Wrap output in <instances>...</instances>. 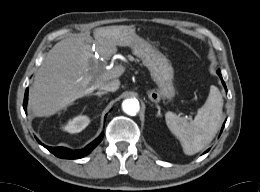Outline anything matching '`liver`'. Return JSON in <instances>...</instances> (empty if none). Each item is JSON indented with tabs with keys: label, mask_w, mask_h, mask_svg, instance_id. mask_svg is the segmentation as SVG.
Masks as SVG:
<instances>
[{
	"label": "liver",
	"mask_w": 260,
	"mask_h": 192,
	"mask_svg": "<svg viewBox=\"0 0 260 192\" xmlns=\"http://www.w3.org/2000/svg\"><path fill=\"white\" fill-rule=\"evenodd\" d=\"M116 27L98 28L95 40L90 36L68 37L47 53L35 74L29 94V105L37 117L50 116L113 80L108 76L104 62L94 56L92 43L101 57L116 52L111 30Z\"/></svg>",
	"instance_id": "1"
}]
</instances>
